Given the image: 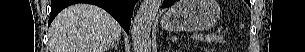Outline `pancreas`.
I'll list each match as a JSON object with an SVG mask.
<instances>
[{
	"label": "pancreas",
	"instance_id": "cf45deb5",
	"mask_svg": "<svg viewBox=\"0 0 305 52\" xmlns=\"http://www.w3.org/2000/svg\"><path fill=\"white\" fill-rule=\"evenodd\" d=\"M205 42L207 43H212V42H216V43H222L223 42V37L220 35H207L205 37Z\"/></svg>",
	"mask_w": 305,
	"mask_h": 52
}]
</instances>
